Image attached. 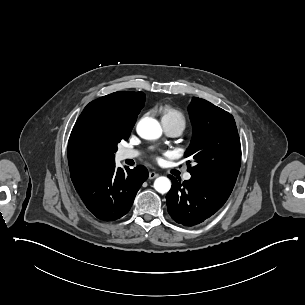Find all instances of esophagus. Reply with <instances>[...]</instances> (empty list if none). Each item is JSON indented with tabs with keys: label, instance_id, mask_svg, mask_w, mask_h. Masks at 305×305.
<instances>
[{
	"label": "esophagus",
	"instance_id": "obj_1",
	"mask_svg": "<svg viewBox=\"0 0 305 305\" xmlns=\"http://www.w3.org/2000/svg\"><path fill=\"white\" fill-rule=\"evenodd\" d=\"M156 177H158V174H157V173H155V172H150V173H149V179H154V178H156Z\"/></svg>",
	"mask_w": 305,
	"mask_h": 305
}]
</instances>
